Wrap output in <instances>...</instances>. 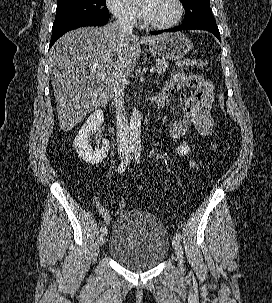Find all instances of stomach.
<instances>
[{
    "instance_id": "obj_1",
    "label": "stomach",
    "mask_w": 272,
    "mask_h": 303,
    "mask_svg": "<svg viewBox=\"0 0 272 303\" xmlns=\"http://www.w3.org/2000/svg\"><path fill=\"white\" fill-rule=\"evenodd\" d=\"M192 42L182 33H168L149 48V52L163 60H180L192 49Z\"/></svg>"
}]
</instances>
